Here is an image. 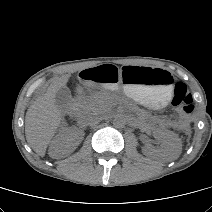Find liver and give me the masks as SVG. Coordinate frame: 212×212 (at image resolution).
Returning <instances> with one entry per match:
<instances>
[{
	"instance_id": "liver-1",
	"label": "liver",
	"mask_w": 212,
	"mask_h": 212,
	"mask_svg": "<svg viewBox=\"0 0 212 212\" xmlns=\"http://www.w3.org/2000/svg\"><path fill=\"white\" fill-rule=\"evenodd\" d=\"M69 77L70 75L66 74L56 78L46 93L37 98L26 112V140L39 156L45 155L47 145L62 120V113L55 103V95L61 87L67 84Z\"/></svg>"
}]
</instances>
